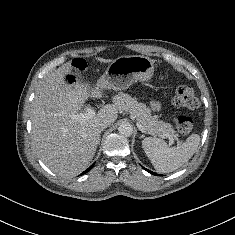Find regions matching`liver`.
<instances>
[{"label":"liver","mask_w":235,"mask_h":235,"mask_svg":"<svg viewBox=\"0 0 235 235\" xmlns=\"http://www.w3.org/2000/svg\"><path fill=\"white\" fill-rule=\"evenodd\" d=\"M101 63L112 60L98 58ZM72 66L66 63L40 81L32 102V137L43 163L60 176H74L92 161L99 139L98 124L111 123L118 117L115 106L105 105L93 117L79 122L72 119L89 97L88 84H68L65 76ZM91 93L103 97V89L94 87Z\"/></svg>","instance_id":"6515ba94"}]
</instances>
